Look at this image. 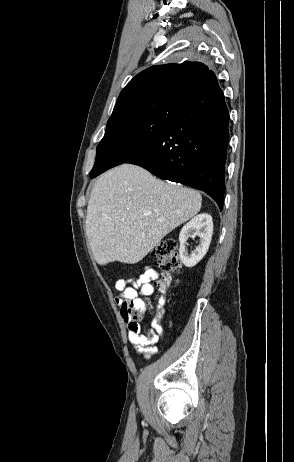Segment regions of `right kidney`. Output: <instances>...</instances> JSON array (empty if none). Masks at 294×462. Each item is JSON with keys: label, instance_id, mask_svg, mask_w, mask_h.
I'll list each match as a JSON object with an SVG mask.
<instances>
[{"label": "right kidney", "instance_id": "ca27d5eb", "mask_svg": "<svg viewBox=\"0 0 294 462\" xmlns=\"http://www.w3.org/2000/svg\"><path fill=\"white\" fill-rule=\"evenodd\" d=\"M213 234L212 217L209 214L202 213L190 220L180 231L179 255L182 263L186 267L195 266L207 253ZM199 236L200 241L196 249L189 255L186 251V241L189 237Z\"/></svg>", "mask_w": 294, "mask_h": 462}]
</instances>
